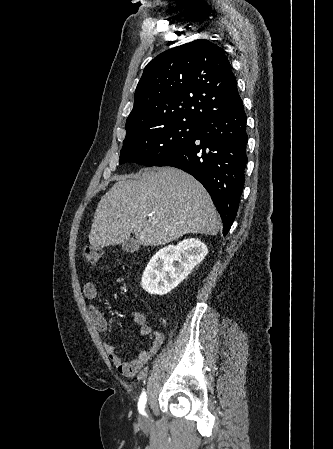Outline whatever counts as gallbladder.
I'll return each instance as SVG.
<instances>
[{
	"label": "gallbladder",
	"mask_w": 333,
	"mask_h": 449,
	"mask_svg": "<svg viewBox=\"0 0 333 449\" xmlns=\"http://www.w3.org/2000/svg\"><path fill=\"white\" fill-rule=\"evenodd\" d=\"M139 248V243L133 238H128L122 243V250L128 253H134Z\"/></svg>",
	"instance_id": "obj_1"
}]
</instances>
